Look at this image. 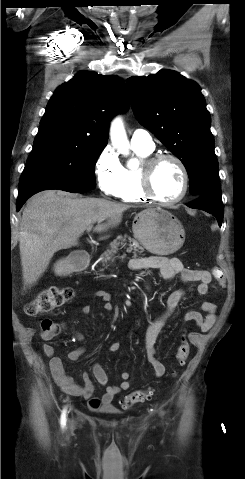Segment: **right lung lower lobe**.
Returning a JSON list of instances; mask_svg holds the SVG:
<instances>
[{"instance_id": "98d812e1", "label": "right lung lower lobe", "mask_w": 245, "mask_h": 479, "mask_svg": "<svg viewBox=\"0 0 245 479\" xmlns=\"http://www.w3.org/2000/svg\"><path fill=\"white\" fill-rule=\"evenodd\" d=\"M48 189H59V190H64V191L72 192V193H83L90 190L87 188H82V187L74 186V185L59 182V181H53V180H42V181L27 183L19 187L17 204H16L17 211H19V209L22 207L25 201L29 197H31L33 194L43 190H48Z\"/></svg>"}]
</instances>
